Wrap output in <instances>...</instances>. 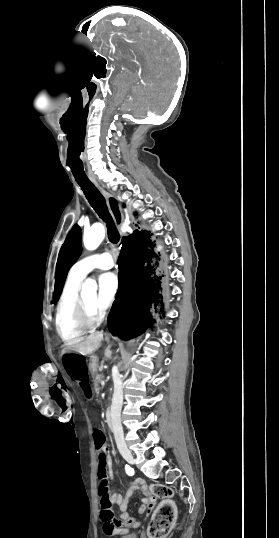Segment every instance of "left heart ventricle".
Returning <instances> with one entry per match:
<instances>
[{
	"label": "left heart ventricle",
	"mask_w": 279,
	"mask_h": 538,
	"mask_svg": "<svg viewBox=\"0 0 279 538\" xmlns=\"http://www.w3.org/2000/svg\"><path fill=\"white\" fill-rule=\"evenodd\" d=\"M85 298L94 306L98 307L99 305V302H98V294H97V291H93V292H87L84 294Z\"/></svg>",
	"instance_id": "b2bd125f"
}]
</instances>
